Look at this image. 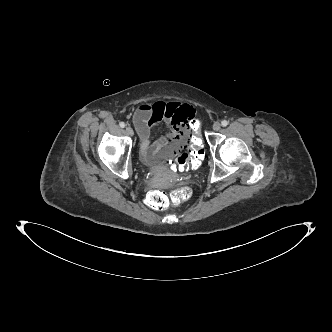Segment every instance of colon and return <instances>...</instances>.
<instances>
[{
  "instance_id": "obj_1",
  "label": "colon",
  "mask_w": 332,
  "mask_h": 332,
  "mask_svg": "<svg viewBox=\"0 0 332 332\" xmlns=\"http://www.w3.org/2000/svg\"><path fill=\"white\" fill-rule=\"evenodd\" d=\"M202 122L199 118H192L189 123L190 137L185 141V147L181 153L169 162V167L173 171L196 168L200 165L204 157V139L202 138ZM192 190L186 186L175 190L170 197L163 191H153L148 196V203L152 208L164 209L170 203L179 204L191 197Z\"/></svg>"
}]
</instances>
